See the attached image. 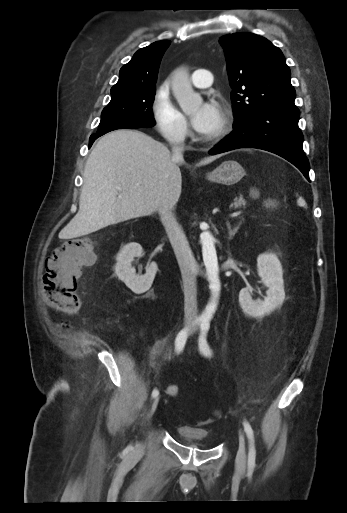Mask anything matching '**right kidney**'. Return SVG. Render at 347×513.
<instances>
[{
    "mask_svg": "<svg viewBox=\"0 0 347 513\" xmlns=\"http://www.w3.org/2000/svg\"><path fill=\"white\" fill-rule=\"evenodd\" d=\"M143 249L138 243H130L124 246L117 254L115 273L126 286L136 294H141L150 289L157 272L156 263H152L144 275H137L132 267L135 257H141Z\"/></svg>",
    "mask_w": 347,
    "mask_h": 513,
    "instance_id": "ca27d5eb",
    "label": "right kidney"
}]
</instances>
